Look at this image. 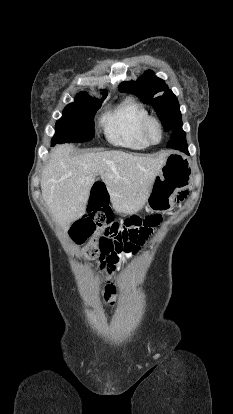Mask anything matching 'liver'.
Segmentation results:
<instances>
[{"label": "liver", "mask_w": 233, "mask_h": 414, "mask_svg": "<svg viewBox=\"0 0 233 414\" xmlns=\"http://www.w3.org/2000/svg\"><path fill=\"white\" fill-rule=\"evenodd\" d=\"M72 150V144L52 149L40 182L43 199L62 227L85 213L97 176L110 189L115 211L132 214L142 209L168 155L139 156L112 150L72 156Z\"/></svg>", "instance_id": "obj_1"}]
</instances>
